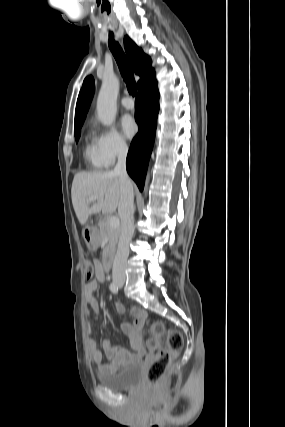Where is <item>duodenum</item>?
I'll return each mask as SVG.
<instances>
[{"label":"duodenum","mask_w":285,"mask_h":427,"mask_svg":"<svg viewBox=\"0 0 285 427\" xmlns=\"http://www.w3.org/2000/svg\"><path fill=\"white\" fill-rule=\"evenodd\" d=\"M114 254H115V249L113 246H110L107 250L106 257H105V263L107 266L111 265V263L113 262Z\"/></svg>","instance_id":"duodenum-1"}]
</instances>
